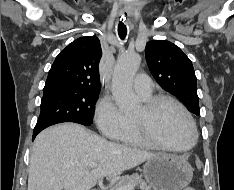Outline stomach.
<instances>
[{
	"mask_svg": "<svg viewBox=\"0 0 234 190\" xmlns=\"http://www.w3.org/2000/svg\"><path fill=\"white\" fill-rule=\"evenodd\" d=\"M143 174L153 190H182L191 182L193 168L181 157L161 154L147 160Z\"/></svg>",
	"mask_w": 234,
	"mask_h": 190,
	"instance_id": "stomach-1",
	"label": "stomach"
}]
</instances>
